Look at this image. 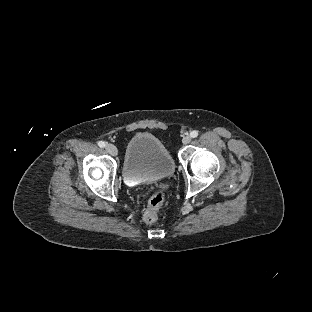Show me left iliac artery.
<instances>
[{
    "label": "left iliac artery",
    "mask_w": 312,
    "mask_h": 312,
    "mask_svg": "<svg viewBox=\"0 0 312 312\" xmlns=\"http://www.w3.org/2000/svg\"><path fill=\"white\" fill-rule=\"evenodd\" d=\"M190 136H191L192 138L197 137V136H198V131H196V130L192 131V132L190 133Z\"/></svg>",
    "instance_id": "left-iliac-artery-1"
}]
</instances>
